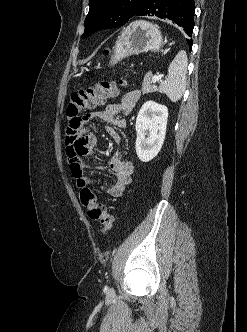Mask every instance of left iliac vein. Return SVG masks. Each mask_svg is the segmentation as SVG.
Returning a JSON list of instances; mask_svg holds the SVG:
<instances>
[{
    "label": "left iliac vein",
    "mask_w": 247,
    "mask_h": 332,
    "mask_svg": "<svg viewBox=\"0 0 247 332\" xmlns=\"http://www.w3.org/2000/svg\"><path fill=\"white\" fill-rule=\"evenodd\" d=\"M111 293H112V289L109 290V294H111Z\"/></svg>",
    "instance_id": "left-iliac-vein-1"
}]
</instances>
